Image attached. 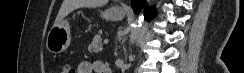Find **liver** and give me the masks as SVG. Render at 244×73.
Returning <instances> with one entry per match:
<instances>
[{"instance_id":"liver-1","label":"liver","mask_w":244,"mask_h":73,"mask_svg":"<svg viewBox=\"0 0 244 73\" xmlns=\"http://www.w3.org/2000/svg\"><path fill=\"white\" fill-rule=\"evenodd\" d=\"M106 3L107 0H64L55 19L54 25L60 23L65 16H67L75 9L82 7L95 8Z\"/></svg>"}]
</instances>
